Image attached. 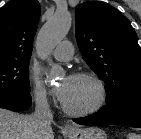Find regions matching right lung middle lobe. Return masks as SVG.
I'll return each instance as SVG.
<instances>
[{
	"instance_id": "dd1d6c3e",
	"label": "right lung middle lobe",
	"mask_w": 141,
	"mask_h": 139,
	"mask_svg": "<svg viewBox=\"0 0 141 139\" xmlns=\"http://www.w3.org/2000/svg\"><path fill=\"white\" fill-rule=\"evenodd\" d=\"M29 60L0 58V95L30 93Z\"/></svg>"
}]
</instances>
